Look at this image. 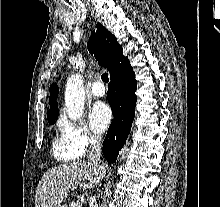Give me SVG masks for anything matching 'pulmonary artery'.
Segmentation results:
<instances>
[{
	"mask_svg": "<svg viewBox=\"0 0 220 207\" xmlns=\"http://www.w3.org/2000/svg\"><path fill=\"white\" fill-rule=\"evenodd\" d=\"M91 93L94 97H102L105 94V87L100 82H95L92 86Z\"/></svg>",
	"mask_w": 220,
	"mask_h": 207,
	"instance_id": "e3ab8cb5",
	"label": "pulmonary artery"
}]
</instances>
